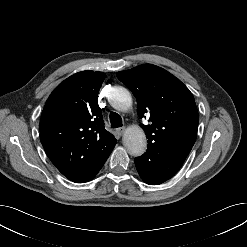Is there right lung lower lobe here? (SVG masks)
Segmentation results:
<instances>
[{"label":"right lung lower lobe","mask_w":247,"mask_h":247,"mask_svg":"<svg viewBox=\"0 0 247 247\" xmlns=\"http://www.w3.org/2000/svg\"><path fill=\"white\" fill-rule=\"evenodd\" d=\"M106 160L107 158L94 164L88 169H85L73 175L67 176V178L76 183H82V182L89 181L100 171V169L102 168Z\"/></svg>","instance_id":"obj_1"}]
</instances>
